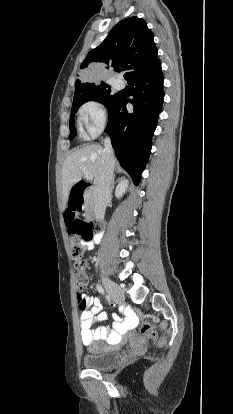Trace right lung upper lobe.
Listing matches in <instances>:
<instances>
[{
	"instance_id": "obj_1",
	"label": "right lung upper lobe",
	"mask_w": 233,
	"mask_h": 414,
	"mask_svg": "<svg viewBox=\"0 0 233 414\" xmlns=\"http://www.w3.org/2000/svg\"><path fill=\"white\" fill-rule=\"evenodd\" d=\"M100 63L107 64V68L111 67L116 71L123 67L127 71L124 74L127 81L136 76L152 73L161 67L153 33L147 27L146 21L133 16L116 24L105 40L88 53L80 67L83 69L82 75L85 78L91 77L94 67ZM104 84H106L104 81L76 80L74 99Z\"/></svg>"
}]
</instances>
